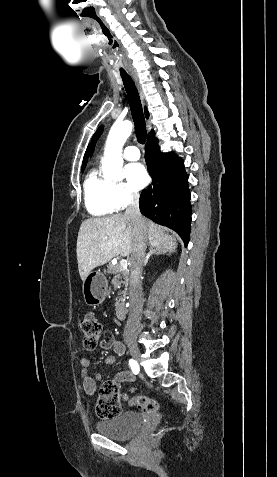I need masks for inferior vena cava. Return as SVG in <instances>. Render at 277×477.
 <instances>
[{"label":"inferior vena cava","mask_w":277,"mask_h":477,"mask_svg":"<svg viewBox=\"0 0 277 477\" xmlns=\"http://www.w3.org/2000/svg\"><path fill=\"white\" fill-rule=\"evenodd\" d=\"M125 215L131 220L133 231V250L131 254L130 275V314L124 329L125 340L135 339L143 307L141 275L145 262L146 229L144 219L139 210V194H130L128 207Z\"/></svg>","instance_id":"1"}]
</instances>
